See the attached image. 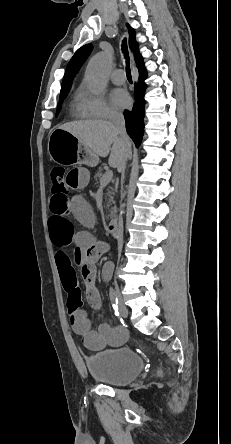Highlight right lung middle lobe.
<instances>
[{
	"label": "right lung middle lobe",
	"instance_id": "1",
	"mask_svg": "<svg viewBox=\"0 0 231 444\" xmlns=\"http://www.w3.org/2000/svg\"><path fill=\"white\" fill-rule=\"evenodd\" d=\"M68 92H69V89H67V90H62V91L60 92L59 104H58V107H57V113L59 112V110H60V108H61V103H62V101L64 100V98L66 97V95H67Z\"/></svg>",
	"mask_w": 231,
	"mask_h": 444
}]
</instances>
